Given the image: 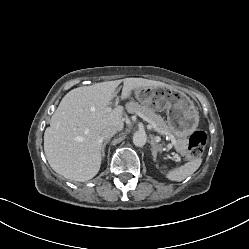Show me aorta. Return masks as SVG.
I'll return each instance as SVG.
<instances>
[{
    "mask_svg": "<svg viewBox=\"0 0 249 249\" xmlns=\"http://www.w3.org/2000/svg\"><path fill=\"white\" fill-rule=\"evenodd\" d=\"M147 135L144 131H136L133 135V143L135 146L143 147L146 144Z\"/></svg>",
    "mask_w": 249,
    "mask_h": 249,
    "instance_id": "762f6f07",
    "label": "aorta"
}]
</instances>
